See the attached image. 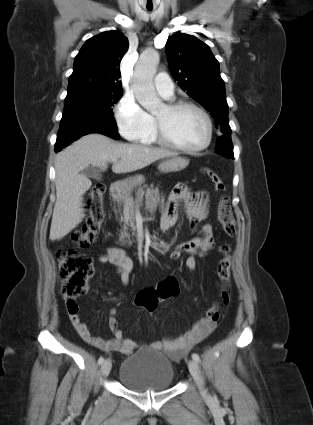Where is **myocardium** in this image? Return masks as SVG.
I'll use <instances>...</instances> for the list:
<instances>
[{"label": "myocardium", "mask_w": 313, "mask_h": 425, "mask_svg": "<svg viewBox=\"0 0 313 425\" xmlns=\"http://www.w3.org/2000/svg\"><path fill=\"white\" fill-rule=\"evenodd\" d=\"M166 108L171 113H176L184 109H193L197 111L198 113H200L202 117L204 118L207 125V136L204 143L198 147H195V148L184 147L183 145L177 143L168 135L164 125L161 123V121L158 118L155 117V136L162 145L169 147L171 149L186 153V154H196L201 151H204L210 146L213 139L214 126H213V121L210 115L207 113V111L204 108L189 101L170 102L166 104Z\"/></svg>", "instance_id": "1"}]
</instances>
